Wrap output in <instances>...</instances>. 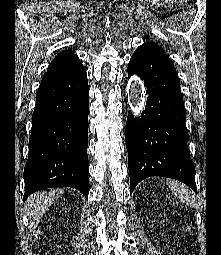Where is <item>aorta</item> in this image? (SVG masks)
<instances>
[{
    "label": "aorta",
    "instance_id": "1",
    "mask_svg": "<svg viewBox=\"0 0 221 255\" xmlns=\"http://www.w3.org/2000/svg\"><path fill=\"white\" fill-rule=\"evenodd\" d=\"M144 96L145 92L143 87L140 84H133L130 89V97L134 100L136 109L142 107Z\"/></svg>",
    "mask_w": 221,
    "mask_h": 255
}]
</instances>
